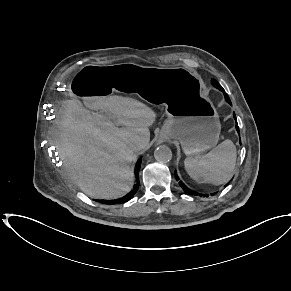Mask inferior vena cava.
I'll list each match as a JSON object with an SVG mask.
<instances>
[{"instance_id":"obj_1","label":"inferior vena cava","mask_w":291,"mask_h":291,"mask_svg":"<svg viewBox=\"0 0 291 291\" xmlns=\"http://www.w3.org/2000/svg\"><path fill=\"white\" fill-rule=\"evenodd\" d=\"M130 149H131L132 151H137V150L139 149V147H138L137 145H135V144H131V145H130Z\"/></svg>"}]
</instances>
